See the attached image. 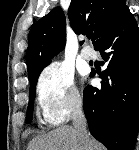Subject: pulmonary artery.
Listing matches in <instances>:
<instances>
[{
    "label": "pulmonary artery",
    "instance_id": "e3ab8cb5",
    "mask_svg": "<svg viewBox=\"0 0 139 150\" xmlns=\"http://www.w3.org/2000/svg\"><path fill=\"white\" fill-rule=\"evenodd\" d=\"M95 56H96V54H95L94 50H92L89 47H84L81 50V57L85 60H92L95 58Z\"/></svg>",
    "mask_w": 139,
    "mask_h": 150
}]
</instances>
